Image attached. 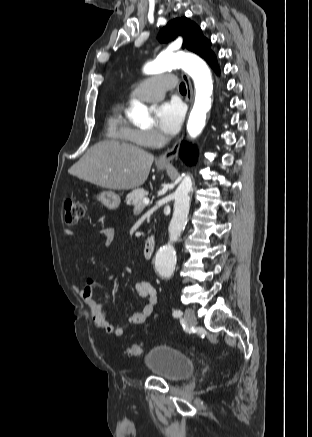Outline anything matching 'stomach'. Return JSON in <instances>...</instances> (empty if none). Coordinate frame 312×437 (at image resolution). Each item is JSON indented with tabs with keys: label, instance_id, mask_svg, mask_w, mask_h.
<instances>
[{
	"label": "stomach",
	"instance_id": "stomach-1",
	"mask_svg": "<svg viewBox=\"0 0 312 437\" xmlns=\"http://www.w3.org/2000/svg\"><path fill=\"white\" fill-rule=\"evenodd\" d=\"M167 166L168 164H161L158 165V168L165 169L167 168ZM92 200L100 202L103 206H105L109 210H116L121 203L120 197L113 191H102L97 195L94 194L92 195Z\"/></svg>",
	"mask_w": 312,
	"mask_h": 437
}]
</instances>
